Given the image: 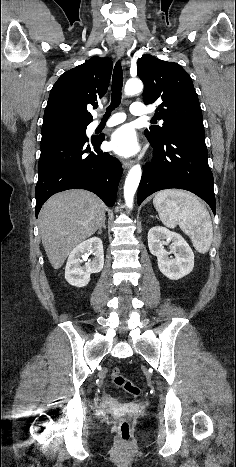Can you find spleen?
Masks as SVG:
<instances>
[{"mask_svg": "<svg viewBox=\"0 0 236 467\" xmlns=\"http://www.w3.org/2000/svg\"><path fill=\"white\" fill-rule=\"evenodd\" d=\"M153 204L165 226L179 225L198 252L204 254L209 250L213 239L212 222L206 207L196 196L182 190H163L155 195Z\"/></svg>", "mask_w": 236, "mask_h": 467, "instance_id": "3e777b00", "label": "spleen"}]
</instances>
